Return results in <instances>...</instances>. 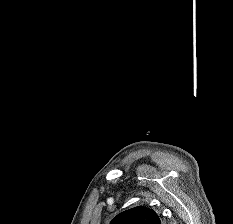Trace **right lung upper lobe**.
Returning <instances> with one entry per match:
<instances>
[{"label": "right lung upper lobe", "mask_w": 233, "mask_h": 224, "mask_svg": "<svg viewBox=\"0 0 233 224\" xmlns=\"http://www.w3.org/2000/svg\"><path fill=\"white\" fill-rule=\"evenodd\" d=\"M110 224H161L155 211L138 206L118 214Z\"/></svg>", "instance_id": "obj_1"}]
</instances>
